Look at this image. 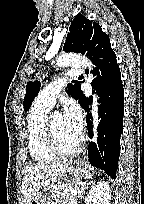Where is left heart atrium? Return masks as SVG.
Segmentation results:
<instances>
[{
    "label": "left heart atrium",
    "mask_w": 144,
    "mask_h": 204,
    "mask_svg": "<svg viewBox=\"0 0 144 204\" xmlns=\"http://www.w3.org/2000/svg\"><path fill=\"white\" fill-rule=\"evenodd\" d=\"M62 117L69 132L79 138L83 126L82 112L79 105L75 101H68L64 106Z\"/></svg>",
    "instance_id": "39dd6f15"
}]
</instances>
